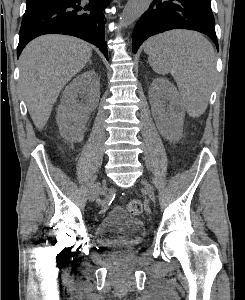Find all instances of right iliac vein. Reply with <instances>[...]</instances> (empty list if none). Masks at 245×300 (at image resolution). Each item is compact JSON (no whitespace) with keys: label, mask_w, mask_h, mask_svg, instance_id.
<instances>
[{"label":"right iliac vein","mask_w":245,"mask_h":300,"mask_svg":"<svg viewBox=\"0 0 245 300\" xmlns=\"http://www.w3.org/2000/svg\"><path fill=\"white\" fill-rule=\"evenodd\" d=\"M105 188H106V181H103L102 185L97 184V185L93 186V188L90 192L89 199L94 200L97 197V195L99 194V192L104 191Z\"/></svg>","instance_id":"63e3f726"}]
</instances>
